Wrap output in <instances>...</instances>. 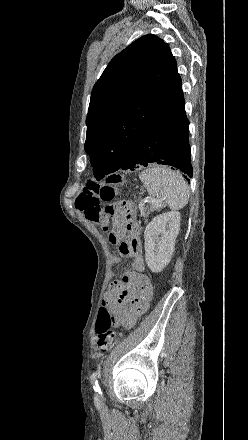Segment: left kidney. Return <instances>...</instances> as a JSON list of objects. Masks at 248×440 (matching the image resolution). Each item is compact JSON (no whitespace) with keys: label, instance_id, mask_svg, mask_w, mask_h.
<instances>
[{"label":"left kidney","instance_id":"5707ae66","mask_svg":"<svg viewBox=\"0 0 248 440\" xmlns=\"http://www.w3.org/2000/svg\"><path fill=\"white\" fill-rule=\"evenodd\" d=\"M179 230L180 213L178 211L157 215L146 226L144 231L145 259L152 272L159 273L170 263Z\"/></svg>","mask_w":248,"mask_h":440}]
</instances>
